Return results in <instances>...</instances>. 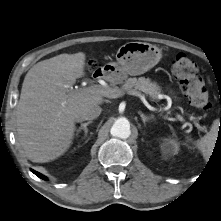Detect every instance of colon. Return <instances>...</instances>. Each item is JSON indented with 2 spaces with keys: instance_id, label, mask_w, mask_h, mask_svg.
<instances>
[{
  "instance_id": "obj_1",
  "label": "colon",
  "mask_w": 221,
  "mask_h": 221,
  "mask_svg": "<svg viewBox=\"0 0 221 221\" xmlns=\"http://www.w3.org/2000/svg\"><path fill=\"white\" fill-rule=\"evenodd\" d=\"M96 67L95 63H90L91 70ZM172 71L190 103L198 109H209L208 92L203 79L199 75L196 63L186 55L178 54L173 61Z\"/></svg>"
}]
</instances>
